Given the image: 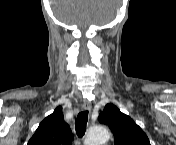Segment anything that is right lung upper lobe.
<instances>
[{
  "label": "right lung upper lobe",
  "mask_w": 176,
  "mask_h": 145,
  "mask_svg": "<svg viewBox=\"0 0 176 145\" xmlns=\"http://www.w3.org/2000/svg\"><path fill=\"white\" fill-rule=\"evenodd\" d=\"M73 134L58 106L39 125L28 145H71Z\"/></svg>",
  "instance_id": "cb5924a9"
}]
</instances>
